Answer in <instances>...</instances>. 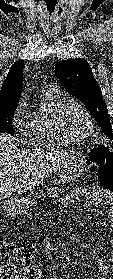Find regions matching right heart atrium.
I'll list each match as a JSON object with an SVG mask.
<instances>
[{
  "label": "right heart atrium",
  "mask_w": 113,
  "mask_h": 279,
  "mask_svg": "<svg viewBox=\"0 0 113 279\" xmlns=\"http://www.w3.org/2000/svg\"><path fill=\"white\" fill-rule=\"evenodd\" d=\"M25 107H26V101L22 100L13 118V124L15 127H21L25 125V122L23 120V113Z\"/></svg>",
  "instance_id": "1"
}]
</instances>
